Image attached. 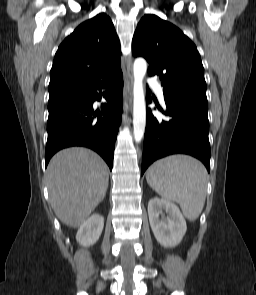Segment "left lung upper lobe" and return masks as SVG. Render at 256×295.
<instances>
[{"label":"left lung upper lobe","instance_id":"obj_1","mask_svg":"<svg viewBox=\"0 0 256 295\" xmlns=\"http://www.w3.org/2000/svg\"><path fill=\"white\" fill-rule=\"evenodd\" d=\"M132 53L148 61V74L162 81L165 100L208 108L199 52L176 26L156 15H145L134 33Z\"/></svg>","mask_w":256,"mask_h":295}]
</instances>
